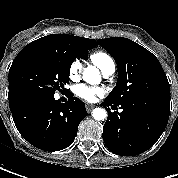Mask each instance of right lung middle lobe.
Masks as SVG:
<instances>
[{
  "mask_svg": "<svg viewBox=\"0 0 178 178\" xmlns=\"http://www.w3.org/2000/svg\"><path fill=\"white\" fill-rule=\"evenodd\" d=\"M86 49L49 43H29L14 59L8 75L9 95H54L69 82L73 61Z\"/></svg>",
  "mask_w": 178,
  "mask_h": 178,
  "instance_id": "1",
  "label": "right lung middle lobe"
}]
</instances>
